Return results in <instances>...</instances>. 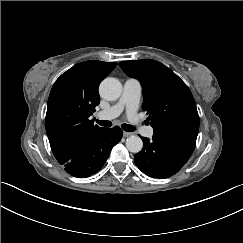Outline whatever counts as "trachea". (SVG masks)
I'll list each match as a JSON object with an SVG mask.
<instances>
[{"label":"trachea","mask_w":243,"mask_h":243,"mask_svg":"<svg viewBox=\"0 0 243 243\" xmlns=\"http://www.w3.org/2000/svg\"><path fill=\"white\" fill-rule=\"evenodd\" d=\"M94 120L96 121V123H98L101 126L104 127H110L112 126V122L108 121V120H97L96 118H94ZM122 129L125 130L126 132H132L134 131V127L132 125L129 124H122L121 125Z\"/></svg>","instance_id":"1"}]
</instances>
